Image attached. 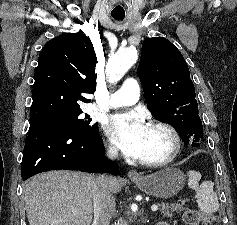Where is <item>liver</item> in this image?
Listing matches in <instances>:
<instances>
[{"label": "liver", "mask_w": 237, "mask_h": 225, "mask_svg": "<svg viewBox=\"0 0 237 225\" xmlns=\"http://www.w3.org/2000/svg\"><path fill=\"white\" fill-rule=\"evenodd\" d=\"M97 176L56 170L34 176L24 189L29 225H90ZM115 179L112 192H119Z\"/></svg>", "instance_id": "liver-1"}]
</instances>
